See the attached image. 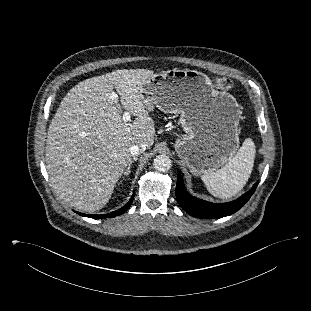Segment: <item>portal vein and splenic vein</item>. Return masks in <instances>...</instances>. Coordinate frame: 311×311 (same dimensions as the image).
Instances as JSON below:
<instances>
[{"label":"portal vein and splenic vein","mask_w":311,"mask_h":311,"mask_svg":"<svg viewBox=\"0 0 311 311\" xmlns=\"http://www.w3.org/2000/svg\"><path fill=\"white\" fill-rule=\"evenodd\" d=\"M111 99L114 100V101H117L118 95L116 93H112ZM130 118H131V115H130L129 112H124L123 113V116H122L123 121L128 122V121H130Z\"/></svg>","instance_id":"portal-vein-and-splenic-vein-1"}]
</instances>
